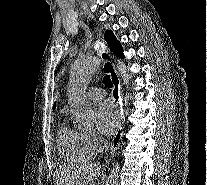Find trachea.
<instances>
[{"label":"trachea","instance_id":"obj_1","mask_svg":"<svg viewBox=\"0 0 207 185\" xmlns=\"http://www.w3.org/2000/svg\"><path fill=\"white\" fill-rule=\"evenodd\" d=\"M103 83L106 85V87H112V83H111V79H110V76L109 75H106L104 78H103Z\"/></svg>","mask_w":207,"mask_h":185}]
</instances>
